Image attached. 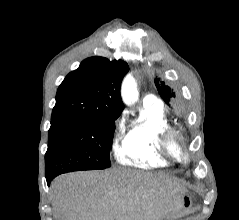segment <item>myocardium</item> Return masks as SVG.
I'll list each match as a JSON object with an SVG mask.
<instances>
[{
    "label": "myocardium",
    "mask_w": 239,
    "mask_h": 220,
    "mask_svg": "<svg viewBox=\"0 0 239 220\" xmlns=\"http://www.w3.org/2000/svg\"><path fill=\"white\" fill-rule=\"evenodd\" d=\"M158 144L163 156L172 161L184 163L189 158L183 137L173 128H168L161 132Z\"/></svg>",
    "instance_id": "myocardium-1"
}]
</instances>
